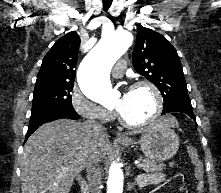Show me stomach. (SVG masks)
Listing matches in <instances>:
<instances>
[{
  "label": "stomach",
  "mask_w": 221,
  "mask_h": 193,
  "mask_svg": "<svg viewBox=\"0 0 221 193\" xmlns=\"http://www.w3.org/2000/svg\"><path fill=\"white\" fill-rule=\"evenodd\" d=\"M123 146H133L134 140L125 138L120 141ZM138 143L148 160L162 162L173 157L179 149V138L174 130L156 121L141 135Z\"/></svg>",
  "instance_id": "stomach-1"
}]
</instances>
